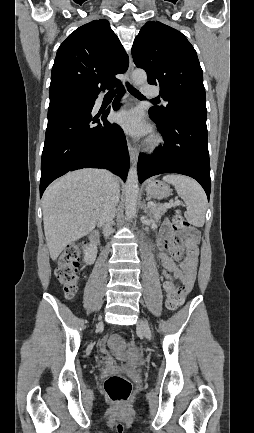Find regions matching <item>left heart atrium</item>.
I'll return each mask as SVG.
<instances>
[{
    "label": "left heart atrium",
    "instance_id": "1",
    "mask_svg": "<svg viewBox=\"0 0 254 433\" xmlns=\"http://www.w3.org/2000/svg\"><path fill=\"white\" fill-rule=\"evenodd\" d=\"M117 122L130 134L143 135L148 131L139 110L122 111L117 115Z\"/></svg>",
    "mask_w": 254,
    "mask_h": 433
}]
</instances>
